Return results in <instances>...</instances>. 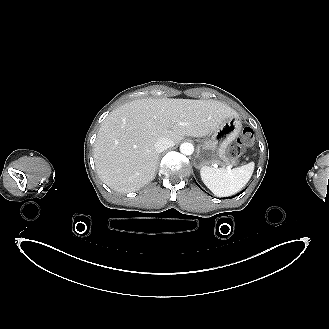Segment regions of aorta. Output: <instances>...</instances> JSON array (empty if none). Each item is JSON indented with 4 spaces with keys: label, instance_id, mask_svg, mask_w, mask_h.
Here are the masks:
<instances>
[{
    "label": "aorta",
    "instance_id": "762f6f07",
    "mask_svg": "<svg viewBox=\"0 0 329 329\" xmlns=\"http://www.w3.org/2000/svg\"><path fill=\"white\" fill-rule=\"evenodd\" d=\"M194 151V146L191 143L185 142L180 146V152L184 155H191Z\"/></svg>",
    "mask_w": 329,
    "mask_h": 329
}]
</instances>
